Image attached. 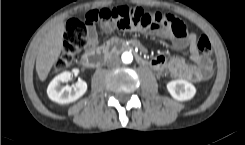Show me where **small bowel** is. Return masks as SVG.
<instances>
[{
  "label": "small bowel",
  "mask_w": 245,
  "mask_h": 145,
  "mask_svg": "<svg viewBox=\"0 0 245 145\" xmlns=\"http://www.w3.org/2000/svg\"><path fill=\"white\" fill-rule=\"evenodd\" d=\"M173 21L177 19L172 18ZM116 26L115 20L104 21L101 24V29L105 33H111ZM90 34L94 35V31L90 30ZM151 34L165 39H173V44L178 49H183L187 45L190 48V59L194 62L193 65H187L179 58H172L169 62L162 56L155 57L152 65L156 69L167 68L171 77L186 76L192 80H200L203 78L205 71L209 66V59L202 56L200 51L194 46L195 36L193 34L175 38L169 22L165 23L162 28L152 31ZM136 46H140L135 42Z\"/></svg>",
  "instance_id": "c3829d8e"
}]
</instances>
